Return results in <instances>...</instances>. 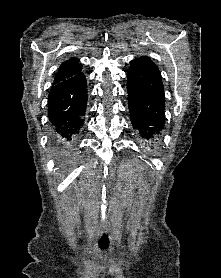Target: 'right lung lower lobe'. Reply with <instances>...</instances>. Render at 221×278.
<instances>
[{
    "label": "right lung lower lobe",
    "mask_w": 221,
    "mask_h": 278,
    "mask_svg": "<svg viewBox=\"0 0 221 278\" xmlns=\"http://www.w3.org/2000/svg\"><path fill=\"white\" fill-rule=\"evenodd\" d=\"M86 107V78L82 72L51 87L48 117L53 139L61 148H69L79 134Z\"/></svg>",
    "instance_id": "1"
}]
</instances>
